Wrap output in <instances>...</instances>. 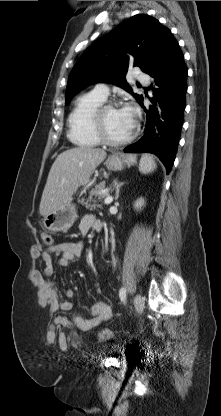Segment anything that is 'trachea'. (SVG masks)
<instances>
[{
    "label": "trachea",
    "mask_w": 221,
    "mask_h": 416,
    "mask_svg": "<svg viewBox=\"0 0 221 416\" xmlns=\"http://www.w3.org/2000/svg\"><path fill=\"white\" fill-rule=\"evenodd\" d=\"M137 86H138V87H141V85H140V84H138Z\"/></svg>",
    "instance_id": "trachea-1"
}]
</instances>
